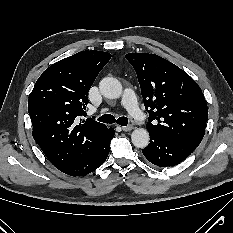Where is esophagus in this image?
Listing matches in <instances>:
<instances>
[{
	"instance_id": "34e87169",
	"label": "esophagus",
	"mask_w": 233,
	"mask_h": 233,
	"mask_svg": "<svg viewBox=\"0 0 233 233\" xmlns=\"http://www.w3.org/2000/svg\"><path fill=\"white\" fill-rule=\"evenodd\" d=\"M132 129H133L132 125H128V126H123L122 127V130L125 131V132L131 131Z\"/></svg>"
}]
</instances>
